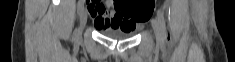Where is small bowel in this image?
<instances>
[{"instance_id":"c3829d8e","label":"small bowel","mask_w":235,"mask_h":62,"mask_svg":"<svg viewBox=\"0 0 235 62\" xmlns=\"http://www.w3.org/2000/svg\"><path fill=\"white\" fill-rule=\"evenodd\" d=\"M120 3L123 2L100 3L89 8L90 16L98 31L107 29L135 30L141 24L135 23L131 17L127 16Z\"/></svg>"}]
</instances>
